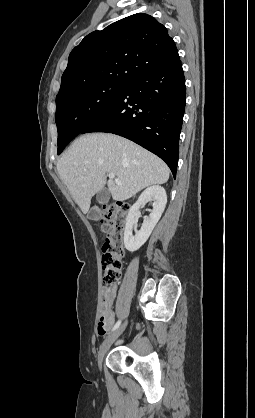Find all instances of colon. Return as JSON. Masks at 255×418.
Wrapping results in <instances>:
<instances>
[{
  "mask_svg": "<svg viewBox=\"0 0 255 418\" xmlns=\"http://www.w3.org/2000/svg\"><path fill=\"white\" fill-rule=\"evenodd\" d=\"M129 208V204L124 201H114L104 204L101 209L100 221L106 234L102 246L103 284L106 295L110 293V287L121 277L125 255L123 234ZM105 325L106 316L101 314L98 329L104 330Z\"/></svg>",
  "mask_w": 255,
  "mask_h": 418,
  "instance_id": "1",
  "label": "colon"
}]
</instances>
